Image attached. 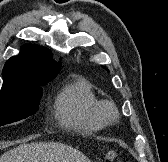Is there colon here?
<instances>
[{"instance_id":"5ec220e1","label":"colon","mask_w":168,"mask_h":162,"mask_svg":"<svg viewBox=\"0 0 168 162\" xmlns=\"http://www.w3.org/2000/svg\"><path fill=\"white\" fill-rule=\"evenodd\" d=\"M106 159L109 161V162H113L115 160L118 159V154L114 151H109L107 152L106 154Z\"/></svg>"}]
</instances>
